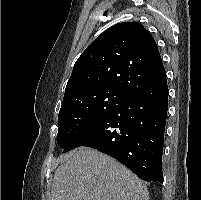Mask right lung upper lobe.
<instances>
[{
	"label": "right lung upper lobe",
	"instance_id": "right-lung-upper-lobe-1",
	"mask_svg": "<svg viewBox=\"0 0 201 200\" xmlns=\"http://www.w3.org/2000/svg\"><path fill=\"white\" fill-rule=\"evenodd\" d=\"M166 76L155 40L138 22L118 23L99 35L76 61L63 101L108 90L130 96Z\"/></svg>",
	"mask_w": 201,
	"mask_h": 200
}]
</instances>
